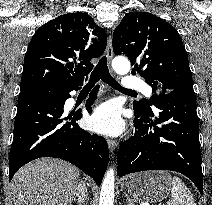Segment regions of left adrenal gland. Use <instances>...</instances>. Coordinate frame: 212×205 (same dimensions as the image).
Listing matches in <instances>:
<instances>
[{
  "instance_id": "obj_1",
  "label": "left adrenal gland",
  "mask_w": 212,
  "mask_h": 205,
  "mask_svg": "<svg viewBox=\"0 0 212 205\" xmlns=\"http://www.w3.org/2000/svg\"><path fill=\"white\" fill-rule=\"evenodd\" d=\"M128 205H134L133 203L129 202Z\"/></svg>"
}]
</instances>
